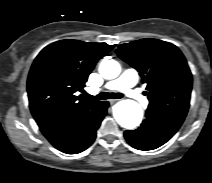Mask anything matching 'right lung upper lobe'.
<instances>
[{
	"mask_svg": "<svg viewBox=\"0 0 212 183\" xmlns=\"http://www.w3.org/2000/svg\"><path fill=\"white\" fill-rule=\"evenodd\" d=\"M114 45L61 40L34 60L27 81L29 106L40 128L97 107L101 101L77 96L96 62Z\"/></svg>",
	"mask_w": 212,
	"mask_h": 183,
	"instance_id": "right-lung-upper-lobe-1",
	"label": "right lung upper lobe"
}]
</instances>
